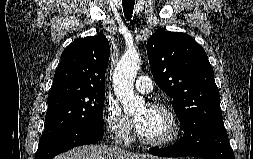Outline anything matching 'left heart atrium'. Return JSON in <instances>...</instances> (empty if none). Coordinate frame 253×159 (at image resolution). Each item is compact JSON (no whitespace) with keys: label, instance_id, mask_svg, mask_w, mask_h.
Instances as JSON below:
<instances>
[{"label":"left heart atrium","instance_id":"left-heart-atrium-1","mask_svg":"<svg viewBox=\"0 0 253 159\" xmlns=\"http://www.w3.org/2000/svg\"><path fill=\"white\" fill-rule=\"evenodd\" d=\"M140 122H137V126H139Z\"/></svg>","mask_w":253,"mask_h":159}]
</instances>
